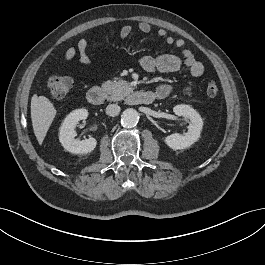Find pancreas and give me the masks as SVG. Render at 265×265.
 Wrapping results in <instances>:
<instances>
[{
  "instance_id": "cf45deb5",
  "label": "pancreas",
  "mask_w": 265,
  "mask_h": 265,
  "mask_svg": "<svg viewBox=\"0 0 265 265\" xmlns=\"http://www.w3.org/2000/svg\"><path fill=\"white\" fill-rule=\"evenodd\" d=\"M127 87L128 85L125 81L108 80L102 84V90L107 94V100L114 102L125 98Z\"/></svg>"
}]
</instances>
